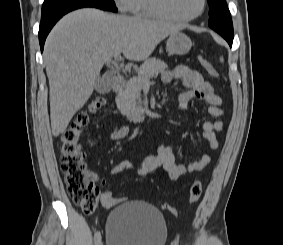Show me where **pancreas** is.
I'll use <instances>...</instances> for the list:
<instances>
[{"mask_svg":"<svg viewBox=\"0 0 283 245\" xmlns=\"http://www.w3.org/2000/svg\"><path fill=\"white\" fill-rule=\"evenodd\" d=\"M167 68L166 63L160 59L150 58L140 66L137 75L127 81L125 90L117 98V106L128 120H137L144 113L141 90L145 80L157 76Z\"/></svg>","mask_w":283,"mask_h":245,"instance_id":"pancreas-1","label":"pancreas"}]
</instances>
